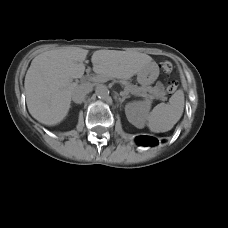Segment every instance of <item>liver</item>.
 I'll return each mask as SVG.
<instances>
[{"mask_svg":"<svg viewBox=\"0 0 228 228\" xmlns=\"http://www.w3.org/2000/svg\"><path fill=\"white\" fill-rule=\"evenodd\" d=\"M88 50L66 48L36 56L25 76V95L29 113L44 125L59 124L68 114L75 85L81 78ZM93 71L106 80H127L152 63L143 53L98 50L92 55ZM89 87L88 84H84Z\"/></svg>","mask_w":228,"mask_h":228,"instance_id":"liver-1","label":"liver"}]
</instances>
